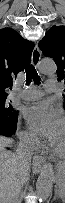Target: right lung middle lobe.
Instances as JSON below:
<instances>
[{
  "mask_svg": "<svg viewBox=\"0 0 65 203\" xmlns=\"http://www.w3.org/2000/svg\"><path fill=\"white\" fill-rule=\"evenodd\" d=\"M18 119L17 112L6 105V97L0 98V120L14 121Z\"/></svg>",
  "mask_w": 65,
  "mask_h": 203,
  "instance_id": "obj_1",
  "label": "right lung middle lobe"
}]
</instances>
